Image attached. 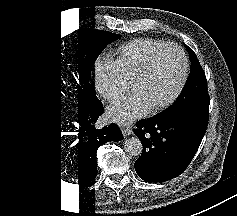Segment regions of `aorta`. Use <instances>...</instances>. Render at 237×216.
I'll use <instances>...</instances> for the list:
<instances>
[{"label":"aorta","instance_id":"1","mask_svg":"<svg viewBox=\"0 0 237 216\" xmlns=\"http://www.w3.org/2000/svg\"><path fill=\"white\" fill-rule=\"evenodd\" d=\"M123 148L125 152L133 156H138L142 153L143 145L138 137L133 136L124 140Z\"/></svg>","mask_w":237,"mask_h":216}]
</instances>
